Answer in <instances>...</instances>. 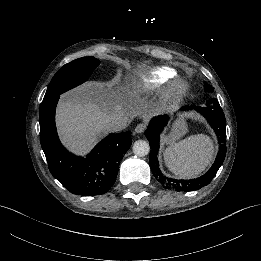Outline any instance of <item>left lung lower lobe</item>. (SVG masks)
Masks as SVG:
<instances>
[{"label": "left lung lower lobe", "mask_w": 261, "mask_h": 261, "mask_svg": "<svg viewBox=\"0 0 261 261\" xmlns=\"http://www.w3.org/2000/svg\"><path fill=\"white\" fill-rule=\"evenodd\" d=\"M191 109L189 106H185L182 110ZM202 115L205 116L210 126L214 129L218 140L220 143V150L217 154L214 164L209 169V171L203 176L197 179L191 180H178L165 176L160 168L158 163V150H159V136L164 126L168 121L166 115L158 116L153 118L150 121L149 126L145 130V136L150 141L151 151H150V167L151 171L156 177V179L166 188H171L176 191H193L198 190L206 185H208L213 177L216 175L218 169L222 165L225 154L226 147L223 144L226 135V120L222 108L220 107L219 102L216 99H211L207 102L206 107H195Z\"/></svg>", "instance_id": "1"}]
</instances>
